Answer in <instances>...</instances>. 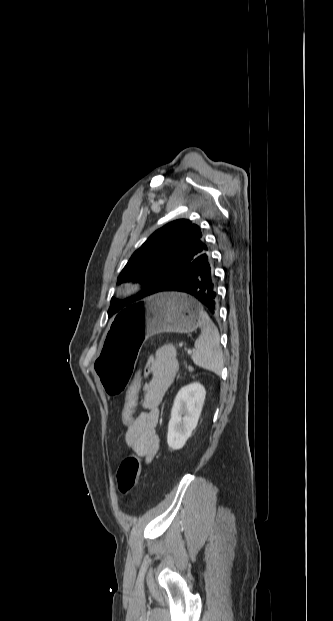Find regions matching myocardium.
<instances>
[{
	"instance_id": "myocardium-1",
	"label": "myocardium",
	"mask_w": 333,
	"mask_h": 621,
	"mask_svg": "<svg viewBox=\"0 0 333 621\" xmlns=\"http://www.w3.org/2000/svg\"><path fill=\"white\" fill-rule=\"evenodd\" d=\"M141 286L134 282H125L119 286L118 292L122 297H130L137 294Z\"/></svg>"
}]
</instances>
